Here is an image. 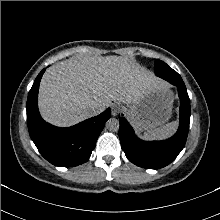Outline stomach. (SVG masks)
Wrapping results in <instances>:
<instances>
[{
	"instance_id": "stomach-1",
	"label": "stomach",
	"mask_w": 220,
	"mask_h": 220,
	"mask_svg": "<svg viewBox=\"0 0 220 220\" xmlns=\"http://www.w3.org/2000/svg\"><path fill=\"white\" fill-rule=\"evenodd\" d=\"M174 100L170 87L160 83L150 89L137 102L126 108L129 121L138 131L155 129L171 116Z\"/></svg>"
}]
</instances>
